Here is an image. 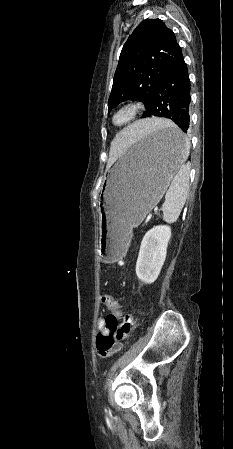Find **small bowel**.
Instances as JSON below:
<instances>
[{"mask_svg":"<svg viewBox=\"0 0 233 449\" xmlns=\"http://www.w3.org/2000/svg\"><path fill=\"white\" fill-rule=\"evenodd\" d=\"M97 327H98V330H99L100 333H102L105 330L106 325H105V319L104 318H99L98 319ZM101 355L104 356L105 354H101Z\"/></svg>","mask_w":233,"mask_h":449,"instance_id":"small-bowel-1","label":"small bowel"}]
</instances>
